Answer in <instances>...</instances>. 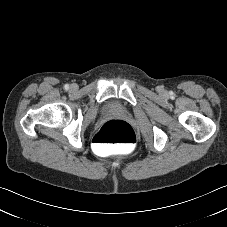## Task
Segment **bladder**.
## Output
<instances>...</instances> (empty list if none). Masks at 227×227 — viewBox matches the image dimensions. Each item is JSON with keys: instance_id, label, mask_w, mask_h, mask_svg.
Instances as JSON below:
<instances>
[{"instance_id": "bladder-1", "label": "bladder", "mask_w": 227, "mask_h": 227, "mask_svg": "<svg viewBox=\"0 0 227 227\" xmlns=\"http://www.w3.org/2000/svg\"><path fill=\"white\" fill-rule=\"evenodd\" d=\"M104 110L107 111V112H116V111H118L119 110L118 102L116 100L109 101L106 104Z\"/></svg>"}]
</instances>
